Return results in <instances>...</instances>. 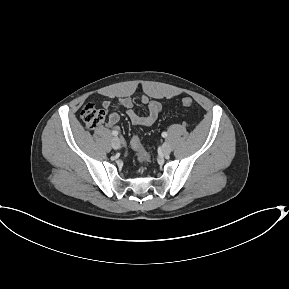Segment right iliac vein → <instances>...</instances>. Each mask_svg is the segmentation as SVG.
I'll use <instances>...</instances> for the list:
<instances>
[{"label":"right iliac vein","instance_id":"obj_1","mask_svg":"<svg viewBox=\"0 0 289 289\" xmlns=\"http://www.w3.org/2000/svg\"><path fill=\"white\" fill-rule=\"evenodd\" d=\"M112 147L114 149H119L120 148V140L117 137H114L112 139Z\"/></svg>","mask_w":289,"mask_h":289}]
</instances>
